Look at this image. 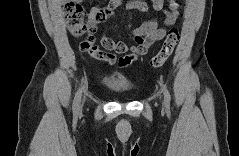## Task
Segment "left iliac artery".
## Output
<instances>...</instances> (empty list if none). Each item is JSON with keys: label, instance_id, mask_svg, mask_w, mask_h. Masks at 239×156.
I'll return each mask as SVG.
<instances>
[{"label": "left iliac artery", "instance_id": "44dca946", "mask_svg": "<svg viewBox=\"0 0 239 156\" xmlns=\"http://www.w3.org/2000/svg\"><path fill=\"white\" fill-rule=\"evenodd\" d=\"M163 91H164V98H165V103L167 106L170 105V93L166 87V85H163Z\"/></svg>", "mask_w": 239, "mask_h": 156}]
</instances>
